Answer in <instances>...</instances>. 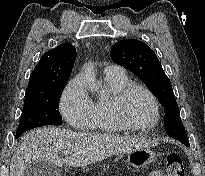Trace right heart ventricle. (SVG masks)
<instances>
[{"mask_svg":"<svg viewBox=\"0 0 205 176\" xmlns=\"http://www.w3.org/2000/svg\"><path fill=\"white\" fill-rule=\"evenodd\" d=\"M104 81L112 96L109 99L98 98L93 102L94 113L89 127L97 134L112 135L125 130L115 117L113 110L114 97L131 82L125 73L105 74Z\"/></svg>","mask_w":205,"mask_h":176,"instance_id":"1","label":"right heart ventricle"}]
</instances>
